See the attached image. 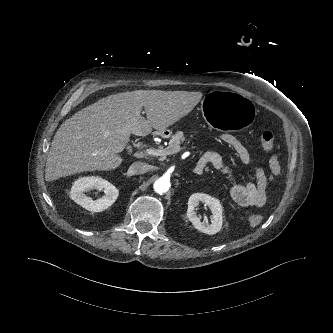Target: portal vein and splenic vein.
I'll use <instances>...</instances> for the list:
<instances>
[{"label": "portal vein and splenic vein", "instance_id": "obj_1", "mask_svg": "<svg viewBox=\"0 0 333 333\" xmlns=\"http://www.w3.org/2000/svg\"><path fill=\"white\" fill-rule=\"evenodd\" d=\"M143 152L147 155L156 156V157H158V156L166 157L167 155L170 154L166 149H163L162 147H160L158 149H154V148L145 149Z\"/></svg>", "mask_w": 333, "mask_h": 333}]
</instances>
